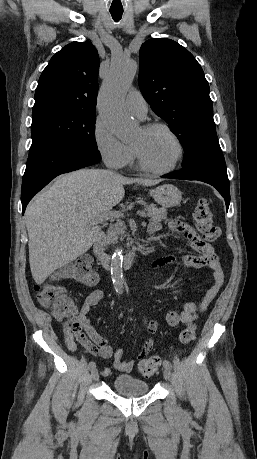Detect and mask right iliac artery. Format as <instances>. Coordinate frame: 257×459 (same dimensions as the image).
<instances>
[{
    "mask_svg": "<svg viewBox=\"0 0 257 459\" xmlns=\"http://www.w3.org/2000/svg\"><path fill=\"white\" fill-rule=\"evenodd\" d=\"M95 367H96V364H95V362H93V361H91V362L89 363V365H88V368H89L91 371L94 370Z\"/></svg>",
    "mask_w": 257,
    "mask_h": 459,
    "instance_id": "obj_1",
    "label": "right iliac artery"
}]
</instances>
